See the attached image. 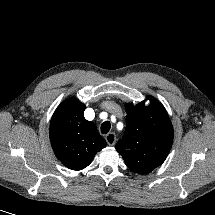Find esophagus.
I'll list each match as a JSON object with an SVG mask.
<instances>
[{
    "mask_svg": "<svg viewBox=\"0 0 215 215\" xmlns=\"http://www.w3.org/2000/svg\"><path fill=\"white\" fill-rule=\"evenodd\" d=\"M105 140L108 145L112 146L116 143V135L113 132L108 133L105 137Z\"/></svg>",
    "mask_w": 215,
    "mask_h": 215,
    "instance_id": "obj_1",
    "label": "esophagus"
}]
</instances>
